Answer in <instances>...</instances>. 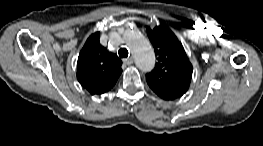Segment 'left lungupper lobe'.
Returning a JSON list of instances; mask_svg holds the SVG:
<instances>
[{
    "label": "left lung upper lobe",
    "mask_w": 263,
    "mask_h": 146,
    "mask_svg": "<svg viewBox=\"0 0 263 146\" xmlns=\"http://www.w3.org/2000/svg\"><path fill=\"white\" fill-rule=\"evenodd\" d=\"M147 35L157 57L155 68L146 75L149 87L164 100L181 97L189 88L193 72L181 42L165 26L147 27Z\"/></svg>",
    "instance_id": "5c2ea615"
}]
</instances>
